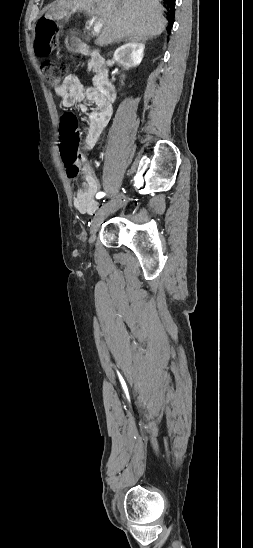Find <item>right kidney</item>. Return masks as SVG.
<instances>
[{
  "mask_svg": "<svg viewBox=\"0 0 253 548\" xmlns=\"http://www.w3.org/2000/svg\"><path fill=\"white\" fill-rule=\"evenodd\" d=\"M145 45L135 41L128 42L114 52V60L126 69L139 65L143 59Z\"/></svg>",
  "mask_w": 253,
  "mask_h": 548,
  "instance_id": "1",
  "label": "right kidney"
}]
</instances>
